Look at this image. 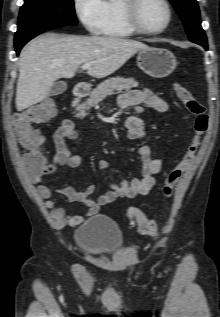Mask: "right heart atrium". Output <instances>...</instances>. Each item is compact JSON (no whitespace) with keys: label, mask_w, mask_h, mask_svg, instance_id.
Listing matches in <instances>:
<instances>
[{"label":"right heart atrium","mask_w":220,"mask_h":317,"mask_svg":"<svg viewBox=\"0 0 220 317\" xmlns=\"http://www.w3.org/2000/svg\"><path fill=\"white\" fill-rule=\"evenodd\" d=\"M73 9L86 30L98 33L101 0H73Z\"/></svg>","instance_id":"d8ad5b80"}]
</instances>
